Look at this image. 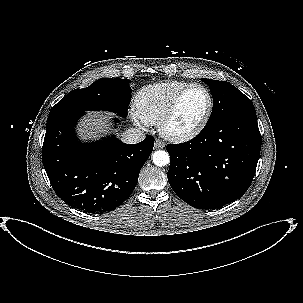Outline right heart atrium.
Here are the masks:
<instances>
[{"mask_svg": "<svg viewBox=\"0 0 303 303\" xmlns=\"http://www.w3.org/2000/svg\"><path fill=\"white\" fill-rule=\"evenodd\" d=\"M130 116L132 118V120L134 121V123L136 125H138L139 127H145L146 125H148L136 112V110H131L130 111Z\"/></svg>", "mask_w": 303, "mask_h": 303, "instance_id": "obj_1", "label": "right heart atrium"}]
</instances>
